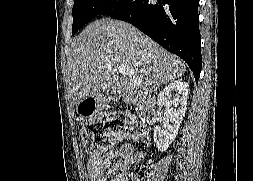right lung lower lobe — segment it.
Listing matches in <instances>:
<instances>
[{
	"label": "right lung lower lobe",
	"mask_w": 253,
	"mask_h": 181,
	"mask_svg": "<svg viewBox=\"0 0 253 181\" xmlns=\"http://www.w3.org/2000/svg\"><path fill=\"white\" fill-rule=\"evenodd\" d=\"M198 5L199 0H129L109 16L131 23L181 57L198 82L202 66Z\"/></svg>",
	"instance_id": "right-lung-lower-lobe-1"
}]
</instances>
